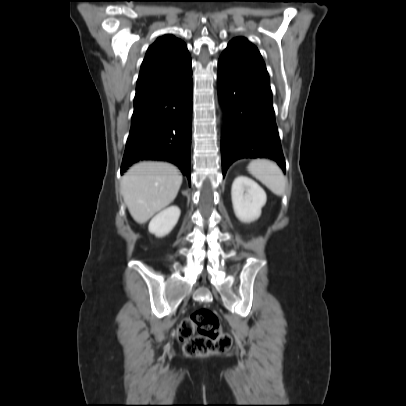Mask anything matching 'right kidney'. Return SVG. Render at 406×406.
Segmentation results:
<instances>
[{
    "label": "right kidney",
    "instance_id": "right-kidney-1",
    "mask_svg": "<svg viewBox=\"0 0 406 406\" xmlns=\"http://www.w3.org/2000/svg\"><path fill=\"white\" fill-rule=\"evenodd\" d=\"M180 217V209L170 206L159 212L149 223V232L157 237H163L171 232Z\"/></svg>",
    "mask_w": 406,
    "mask_h": 406
}]
</instances>
